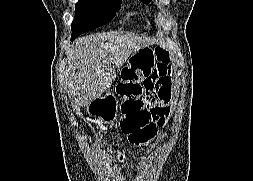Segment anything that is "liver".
I'll return each mask as SVG.
<instances>
[{"mask_svg":"<svg viewBox=\"0 0 253 181\" xmlns=\"http://www.w3.org/2000/svg\"><path fill=\"white\" fill-rule=\"evenodd\" d=\"M150 39L134 34L96 33L76 39L68 57V86L75 101L87 106L101 96L132 53L149 46Z\"/></svg>","mask_w":253,"mask_h":181,"instance_id":"liver-1","label":"liver"}]
</instances>
